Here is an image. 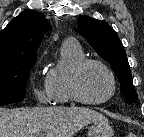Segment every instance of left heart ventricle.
I'll return each instance as SVG.
<instances>
[{
  "instance_id": "b2bd125f",
  "label": "left heart ventricle",
  "mask_w": 144,
  "mask_h": 137,
  "mask_svg": "<svg viewBox=\"0 0 144 137\" xmlns=\"http://www.w3.org/2000/svg\"><path fill=\"white\" fill-rule=\"evenodd\" d=\"M80 89L87 99H103L111 91V81L101 67L89 65L81 75Z\"/></svg>"
}]
</instances>
